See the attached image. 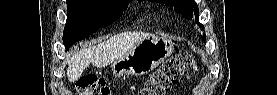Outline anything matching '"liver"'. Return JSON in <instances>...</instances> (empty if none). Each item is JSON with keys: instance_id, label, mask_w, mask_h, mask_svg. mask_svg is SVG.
<instances>
[{"instance_id": "obj_1", "label": "liver", "mask_w": 277, "mask_h": 95, "mask_svg": "<svg viewBox=\"0 0 277 95\" xmlns=\"http://www.w3.org/2000/svg\"><path fill=\"white\" fill-rule=\"evenodd\" d=\"M149 37L153 35L143 32H126L115 35L96 46L81 49L68 60L69 82L78 80L91 63L97 68H103L121 59L139 42Z\"/></svg>"}]
</instances>
